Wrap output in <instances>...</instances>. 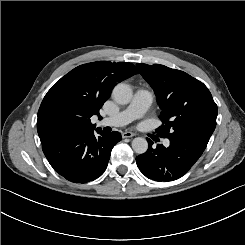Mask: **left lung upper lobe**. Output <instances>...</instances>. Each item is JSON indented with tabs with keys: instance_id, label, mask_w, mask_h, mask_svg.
Here are the masks:
<instances>
[{
	"instance_id": "left-lung-upper-lobe-1",
	"label": "left lung upper lobe",
	"mask_w": 245,
	"mask_h": 245,
	"mask_svg": "<svg viewBox=\"0 0 245 245\" xmlns=\"http://www.w3.org/2000/svg\"><path fill=\"white\" fill-rule=\"evenodd\" d=\"M153 88L162 125L157 135L206 148L215 130L217 105L208 88L187 73L163 65L136 64Z\"/></svg>"
}]
</instances>
